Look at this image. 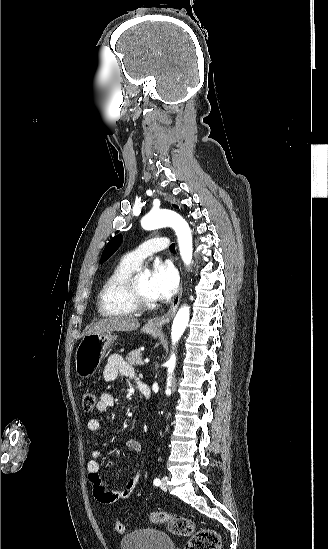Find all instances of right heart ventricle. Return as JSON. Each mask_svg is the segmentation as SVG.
Returning a JSON list of instances; mask_svg holds the SVG:
<instances>
[{"mask_svg":"<svg viewBox=\"0 0 328 549\" xmlns=\"http://www.w3.org/2000/svg\"><path fill=\"white\" fill-rule=\"evenodd\" d=\"M140 263L132 261L126 254L120 258L106 278L98 293V312L101 319H133L132 313L118 308L119 305L125 304L119 291L125 278L133 273Z\"/></svg>","mask_w":328,"mask_h":549,"instance_id":"obj_1","label":"right heart ventricle"}]
</instances>
